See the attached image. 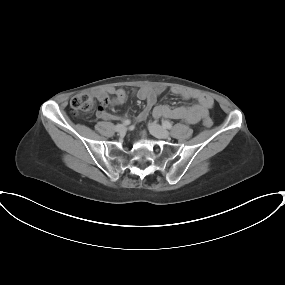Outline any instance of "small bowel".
<instances>
[{
  "mask_svg": "<svg viewBox=\"0 0 285 285\" xmlns=\"http://www.w3.org/2000/svg\"><path fill=\"white\" fill-rule=\"evenodd\" d=\"M161 92L159 88L152 87H140L133 90L132 95L139 100L146 101V106L143 110L135 117V122H143L147 119L150 113L155 118H170V119H180L190 124H195L199 122L203 117H206L209 110L213 106V99L206 94L189 91L180 88H173L172 92L184 99H194L196 104L192 106H179L170 107L167 105H157L156 101ZM95 97L103 104L110 103L113 106H122L128 99L129 94L124 89L121 88H95L93 90ZM108 94L114 95V98L110 101ZM98 118L104 120L115 119V116L109 114L104 109H99L96 113Z\"/></svg>",
  "mask_w": 285,
  "mask_h": 285,
  "instance_id": "small-bowel-1",
  "label": "small bowel"
}]
</instances>
